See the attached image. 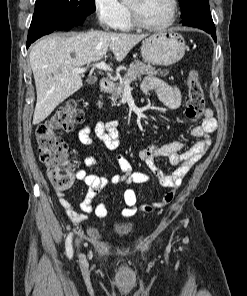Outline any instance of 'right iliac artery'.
I'll return each mask as SVG.
<instances>
[{"label": "right iliac artery", "instance_id": "right-iliac-artery-1", "mask_svg": "<svg viewBox=\"0 0 247 296\" xmlns=\"http://www.w3.org/2000/svg\"><path fill=\"white\" fill-rule=\"evenodd\" d=\"M66 253L69 258L73 256V248H72V233H70L66 239Z\"/></svg>", "mask_w": 247, "mask_h": 296}]
</instances>
